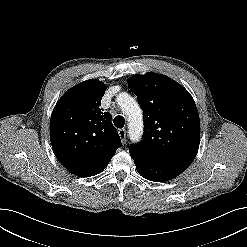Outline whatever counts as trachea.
Returning <instances> with one entry per match:
<instances>
[{
    "instance_id": "trachea-1",
    "label": "trachea",
    "mask_w": 247,
    "mask_h": 247,
    "mask_svg": "<svg viewBox=\"0 0 247 247\" xmlns=\"http://www.w3.org/2000/svg\"><path fill=\"white\" fill-rule=\"evenodd\" d=\"M113 123L117 128H123L125 124V119L124 117L118 115L114 118Z\"/></svg>"
}]
</instances>
